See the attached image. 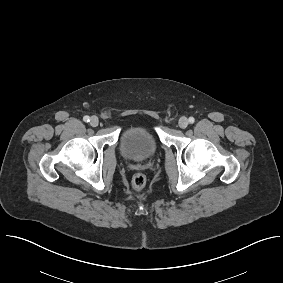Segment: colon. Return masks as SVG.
<instances>
[{
	"label": "colon",
	"mask_w": 283,
	"mask_h": 283,
	"mask_svg": "<svg viewBox=\"0 0 283 283\" xmlns=\"http://www.w3.org/2000/svg\"><path fill=\"white\" fill-rule=\"evenodd\" d=\"M147 178L143 173H136L131 180V186L134 190H141L145 187Z\"/></svg>",
	"instance_id": "obj_1"
}]
</instances>
